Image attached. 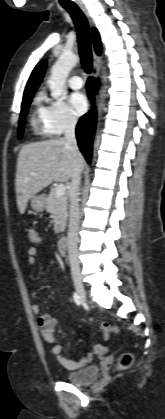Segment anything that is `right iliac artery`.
I'll return each instance as SVG.
<instances>
[{"instance_id": "82829eb1", "label": "right iliac artery", "mask_w": 165, "mask_h": 419, "mask_svg": "<svg viewBox=\"0 0 165 419\" xmlns=\"http://www.w3.org/2000/svg\"><path fill=\"white\" fill-rule=\"evenodd\" d=\"M73 299H74V302H75L77 305H81V300H80V297L78 296V294H77V293H74V294H73Z\"/></svg>"}]
</instances>
